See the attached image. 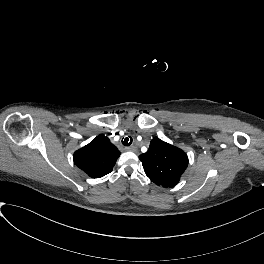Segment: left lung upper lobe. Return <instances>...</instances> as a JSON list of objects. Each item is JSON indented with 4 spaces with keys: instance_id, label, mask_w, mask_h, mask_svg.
<instances>
[{
    "instance_id": "1",
    "label": "left lung upper lobe",
    "mask_w": 264,
    "mask_h": 264,
    "mask_svg": "<svg viewBox=\"0 0 264 264\" xmlns=\"http://www.w3.org/2000/svg\"><path fill=\"white\" fill-rule=\"evenodd\" d=\"M146 175L163 187H174L188 166V157L181 149L155 137L148 151L139 156Z\"/></svg>"
}]
</instances>
